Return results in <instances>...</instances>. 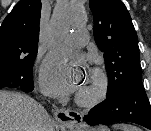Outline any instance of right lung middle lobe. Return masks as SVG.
Masks as SVG:
<instances>
[{
    "instance_id": "1",
    "label": "right lung middle lobe",
    "mask_w": 151,
    "mask_h": 131,
    "mask_svg": "<svg viewBox=\"0 0 151 131\" xmlns=\"http://www.w3.org/2000/svg\"><path fill=\"white\" fill-rule=\"evenodd\" d=\"M36 55L20 45H11L0 51V78L8 81V88H17L23 79L33 76Z\"/></svg>"
}]
</instances>
